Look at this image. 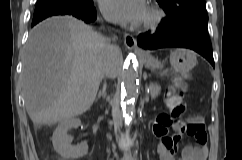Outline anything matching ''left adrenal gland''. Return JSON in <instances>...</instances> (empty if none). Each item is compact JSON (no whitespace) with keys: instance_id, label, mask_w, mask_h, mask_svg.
<instances>
[{"instance_id":"a2214340","label":"left adrenal gland","mask_w":242,"mask_h":160,"mask_svg":"<svg viewBox=\"0 0 242 160\" xmlns=\"http://www.w3.org/2000/svg\"><path fill=\"white\" fill-rule=\"evenodd\" d=\"M148 100V95L146 94V101Z\"/></svg>"}]
</instances>
